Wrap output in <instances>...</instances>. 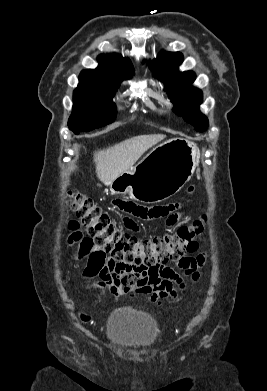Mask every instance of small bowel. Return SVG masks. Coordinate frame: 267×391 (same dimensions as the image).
<instances>
[{"label":"small bowel","mask_w":267,"mask_h":391,"mask_svg":"<svg viewBox=\"0 0 267 391\" xmlns=\"http://www.w3.org/2000/svg\"><path fill=\"white\" fill-rule=\"evenodd\" d=\"M114 208L125 213L123 223L133 232L139 231V226L132 217L154 220L164 218L167 226H173L179 218L180 204L172 203L154 207H144L131 201L115 200ZM71 231L68 237L69 245H75V240L82 237L78 231L79 224L71 221L68 225ZM88 255V264L84 276L88 279L98 277L100 287H107L114 297L127 295L130 297L141 296L147 301L162 303L168 298H175L178 290L184 288L182 277L172 268L164 266L156 271H147L139 266H127L106 258L103 253H87L78 246L76 257L83 258ZM205 255L200 254L195 258H184L178 266L184 269L192 280L199 277L198 269L203 265ZM87 321V316H81Z\"/></svg>","instance_id":"obj_1"}]
</instances>
